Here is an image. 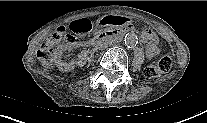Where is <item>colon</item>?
<instances>
[{"mask_svg": "<svg viewBox=\"0 0 207 123\" xmlns=\"http://www.w3.org/2000/svg\"><path fill=\"white\" fill-rule=\"evenodd\" d=\"M65 39L72 42L74 37L66 32L65 28H61L56 32L45 44H43L37 51V56L40 61L46 66H52L51 51L53 46L60 40ZM173 65V59L170 55L163 56L157 63L147 66L144 70L146 78H156L162 74L170 71Z\"/></svg>", "mask_w": 207, "mask_h": 123, "instance_id": "colon-1", "label": "colon"}]
</instances>
